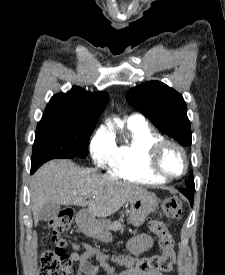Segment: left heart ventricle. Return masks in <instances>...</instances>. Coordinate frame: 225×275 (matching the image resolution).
I'll return each instance as SVG.
<instances>
[{"instance_id": "obj_1", "label": "left heart ventricle", "mask_w": 225, "mask_h": 275, "mask_svg": "<svg viewBox=\"0 0 225 275\" xmlns=\"http://www.w3.org/2000/svg\"><path fill=\"white\" fill-rule=\"evenodd\" d=\"M183 159L180 153L170 148L167 150L163 157V167L171 174H179L183 169Z\"/></svg>"}]
</instances>
